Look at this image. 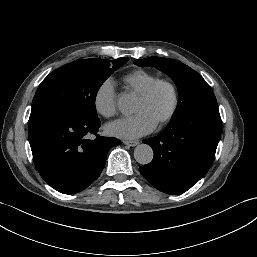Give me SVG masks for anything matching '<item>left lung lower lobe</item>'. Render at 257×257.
<instances>
[{
	"instance_id": "0a47b994",
	"label": "left lung lower lobe",
	"mask_w": 257,
	"mask_h": 257,
	"mask_svg": "<svg viewBox=\"0 0 257 257\" xmlns=\"http://www.w3.org/2000/svg\"><path fill=\"white\" fill-rule=\"evenodd\" d=\"M217 104L206 105L168 124L158 136L143 140L154 152L153 160L139 168L158 190L181 194L211 167L221 135Z\"/></svg>"
}]
</instances>
